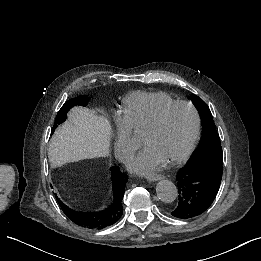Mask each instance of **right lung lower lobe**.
<instances>
[{"label":"right lung lower lobe","instance_id":"1","mask_svg":"<svg viewBox=\"0 0 261 261\" xmlns=\"http://www.w3.org/2000/svg\"><path fill=\"white\" fill-rule=\"evenodd\" d=\"M114 201L109 208L98 212H81L65 205L56 195V199L65 215L75 224L87 229H103L116 223L123 214L122 199L128 180L126 174L117 167L111 168Z\"/></svg>","mask_w":261,"mask_h":261}]
</instances>
